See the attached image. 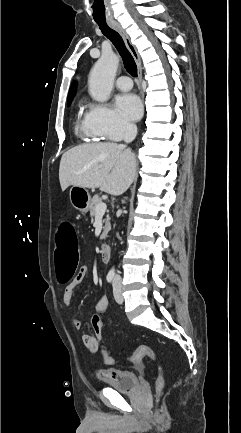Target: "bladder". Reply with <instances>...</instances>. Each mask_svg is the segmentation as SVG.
Returning <instances> with one entry per match:
<instances>
[{
    "mask_svg": "<svg viewBox=\"0 0 241 433\" xmlns=\"http://www.w3.org/2000/svg\"><path fill=\"white\" fill-rule=\"evenodd\" d=\"M97 379L106 387L122 393H129L139 386L138 375L133 371H116L114 373L99 371Z\"/></svg>",
    "mask_w": 241,
    "mask_h": 433,
    "instance_id": "obj_1",
    "label": "bladder"
}]
</instances>
